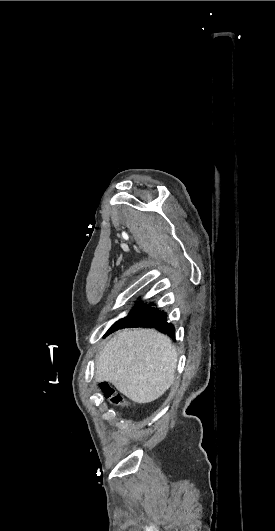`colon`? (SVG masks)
Listing matches in <instances>:
<instances>
[{
	"mask_svg": "<svg viewBox=\"0 0 275 531\" xmlns=\"http://www.w3.org/2000/svg\"><path fill=\"white\" fill-rule=\"evenodd\" d=\"M99 391L104 398L109 400L115 406L127 407L129 405L123 396L106 382H102L99 385Z\"/></svg>",
	"mask_w": 275,
	"mask_h": 531,
	"instance_id": "colon-1",
	"label": "colon"
}]
</instances>
